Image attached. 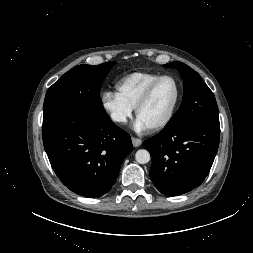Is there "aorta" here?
Masks as SVG:
<instances>
[{
    "label": "aorta",
    "mask_w": 253,
    "mask_h": 253,
    "mask_svg": "<svg viewBox=\"0 0 253 253\" xmlns=\"http://www.w3.org/2000/svg\"><path fill=\"white\" fill-rule=\"evenodd\" d=\"M135 159L139 164H146L150 161V153L146 149H140L135 154Z\"/></svg>",
    "instance_id": "obj_1"
}]
</instances>
